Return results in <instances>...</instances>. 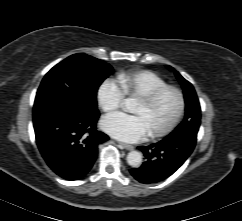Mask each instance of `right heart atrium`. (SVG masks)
Returning a JSON list of instances; mask_svg holds the SVG:
<instances>
[{"instance_id": "1", "label": "right heart atrium", "mask_w": 242, "mask_h": 221, "mask_svg": "<svg viewBox=\"0 0 242 221\" xmlns=\"http://www.w3.org/2000/svg\"><path fill=\"white\" fill-rule=\"evenodd\" d=\"M125 99V93L120 85L113 79H105L98 86L96 100L105 113L117 110Z\"/></svg>"}]
</instances>
